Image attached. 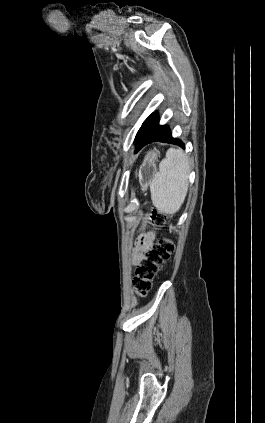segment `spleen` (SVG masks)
<instances>
[{"mask_svg":"<svg viewBox=\"0 0 265 423\" xmlns=\"http://www.w3.org/2000/svg\"><path fill=\"white\" fill-rule=\"evenodd\" d=\"M189 161L181 149L170 148L150 184L151 199L164 214L176 213L188 191Z\"/></svg>","mask_w":265,"mask_h":423,"instance_id":"3e777b00","label":"spleen"}]
</instances>
